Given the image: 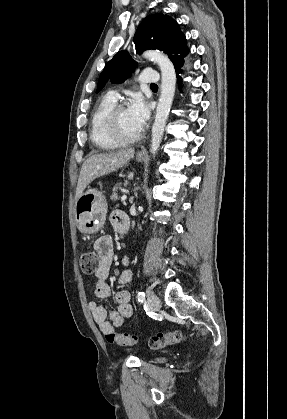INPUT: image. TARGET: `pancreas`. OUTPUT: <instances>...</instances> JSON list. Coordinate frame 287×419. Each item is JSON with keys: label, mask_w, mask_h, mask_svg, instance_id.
<instances>
[{"label": "pancreas", "mask_w": 287, "mask_h": 419, "mask_svg": "<svg viewBox=\"0 0 287 419\" xmlns=\"http://www.w3.org/2000/svg\"><path fill=\"white\" fill-rule=\"evenodd\" d=\"M120 183H117L115 186H114V188H113V191H112V195L110 196V199L112 200V201H116V200H118L119 199V196H118V194H117V191H118V189L120 188Z\"/></svg>", "instance_id": "cf45deb5"}]
</instances>
